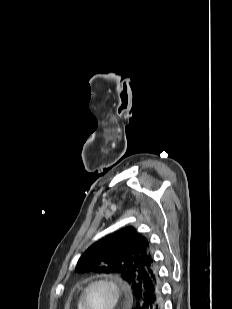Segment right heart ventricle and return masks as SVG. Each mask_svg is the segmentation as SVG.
<instances>
[{"label": "right heart ventricle", "mask_w": 232, "mask_h": 309, "mask_svg": "<svg viewBox=\"0 0 232 309\" xmlns=\"http://www.w3.org/2000/svg\"><path fill=\"white\" fill-rule=\"evenodd\" d=\"M76 309H80V302L79 301L77 303V308Z\"/></svg>", "instance_id": "right-heart-ventricle-1"}]
</instances>
